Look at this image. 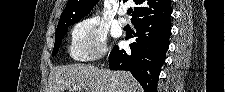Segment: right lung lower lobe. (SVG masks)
Here are the masks:
<instances>
[{"mask_svg": "<svg viewBox=\"0 0 225 92\" xmlns=\"http://www.w3.org/2000/svg\"><path fill=\"white\" fill-rule=\"evenodd\" d=\"M171 13L133 22L137 38L130 44V50L114 46L109 55L110 69L130 71L145 92L157 91L158 77L169 46Z\"/></svg>", "mask_w": 225, "mask_h": 92, "instance_id": "98d812e1", "label": "right lung lower lobe"}]
</instances>
